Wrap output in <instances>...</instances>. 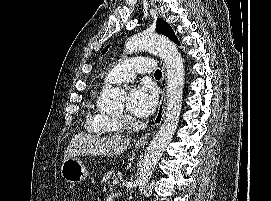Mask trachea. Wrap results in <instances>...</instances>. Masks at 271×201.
I'll use <instances>...</instances> for the list:
<instances>
[{"label":"trachea","mask_w":271,"mask_h":201,"mask_svg":"<svg viewBox=\"0 0 271 201\" xmlns=\"http://www.w3.org/2000/svg\"><path fill=\"white\" fill-rule=\"evenodd\" d=\"M155 78H158V79H160L161 77H162V72H161V70H159V69H157L156 71H155Z\"/></svg>","instance_id":"1"}]
</instances>
